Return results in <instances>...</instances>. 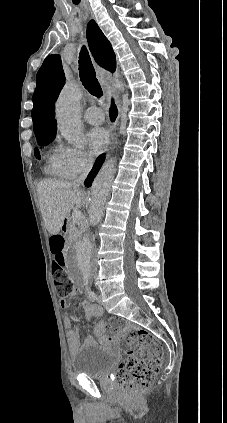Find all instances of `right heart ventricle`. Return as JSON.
I'll return each instance as SVG.
<instances>
[{"label": "right heart ventricle", "mask_w": 227, "mask_h": 423, "mask_svg": "<svg viewBox=\"0 0 227 423\" xmlns=\"http://www.w3.org/2000/svg\"><path fill=\"white\" fill-rule=\"evenodd\" d=\"M46 170L53 175L62 176L58 165V154L49 155Z\"/></svg>", "instance_id": "right-heart-ventricle-1"}]
</instances>
